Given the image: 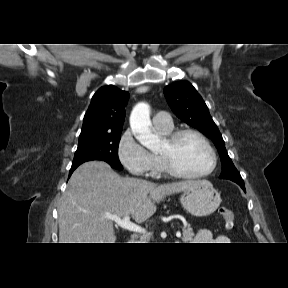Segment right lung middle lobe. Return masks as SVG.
<instances>
[{"label":"right lung middle lobe","mask_w":288,"mask_h":288,"mask_svg":"<svg viewBox=\"0 0 288 288\" xmlns=\"http://www.w3.org/2000/svg\"><path fill=\"white\" fill-rule=\"evenodd\" d=\"M121 132L79 140L72 167L91 160H102L115 169H123L118 158Z\"/></svg>","instance_id":"right-lung-middle-lobe-1"}]
</instances>
